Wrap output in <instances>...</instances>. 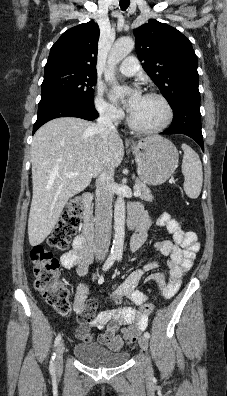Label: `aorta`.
<instances>
[{"instance_id": "aorta-1", "label": "aorta", "mask_w": 227, "mask_h": 396, "mask_svg": "<svg viewBox=\"0 0 227 396\" xmlns=\"http://www.w3.org/2000/svg\"><path fill=\"white\" fill-rule=\"evenodd\" d=\"M134 48V41L131 37L118 39L112 46L108 56V70L105 72V79L116 84L115 68ZM114 240L112 249L114 252H122L125 237V201L123 197H118L114 207Z\"/></svg>"}]
</instances>
